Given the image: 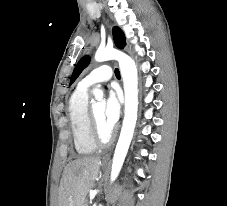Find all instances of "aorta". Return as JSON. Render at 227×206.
I'll list each match as a JSON object with an SVG mask.
<instances>
[{
  "mask_svg": "<svg viewBox=\"0 0 227 206\" xmlns=\"http://www.w3.org/2000/svg\"><path fill=\"white\" fill-rule=\"evenodd\" d=\"M108 60L118 61L125 92V115L120 137L113 156L110 176L111 182H114L122 168L129 145L133 138L137 121L138 75L134 60L125 53L114 48H104L96 51L95 61L104 62ZM93 94L97 99H101L103 97V92L99 88H95L93 90Z\"/></svg>",
  "mask_w": 227,
  "mask_h": 206,
  "instance_id": "aorta-1",
  "label": "aorta"
}]
</instances>
